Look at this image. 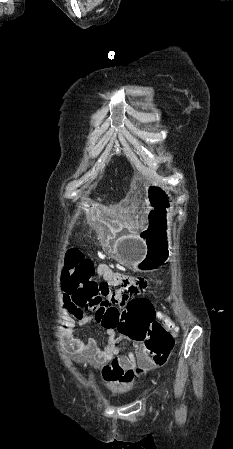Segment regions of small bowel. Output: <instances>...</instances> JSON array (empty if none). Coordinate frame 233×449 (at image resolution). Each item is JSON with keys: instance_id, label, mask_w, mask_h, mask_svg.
<instances>
[{"instance_id": "c3829d8e", "label": "small bowel", "mask_w": 233, "mask_h": 449, "mask_svg": "<svg viewBox=\"0 0 233 449\" xmlns=\"http://www.w3.org/2000/svg\"><path fill=\"white\" fill-rule=\"evenodd\" d=\"M96 275L102 279L98 287L101 292L98 302L100 307L114 306L116 304L114 301H118L119 307H124L127 301H132L131 298L137 296L138 291L147 285V280L141 274H121L105 263L96 266ZM61 289L63 306L78 324L88 326L95 323L93 314L74 306L63 286ZM115 296H117L116 299ZM155 314L154 320H158L165 331L170 334L176 331L175 324L167 315L159 311H155ZM73 327L74 322L69 321L65 328L70 352L83 360L90 361L100 370L103 379L118 389L127 388L133 383L135 377L164 366L169 357V355L153 354L149 349H135L134 343H132V349L125 354H120L119 343L122 334H118L115 328H105L108 342L105 346H100L94 338L82 340L74 335Z\"/></svg>"}]
</instances>
